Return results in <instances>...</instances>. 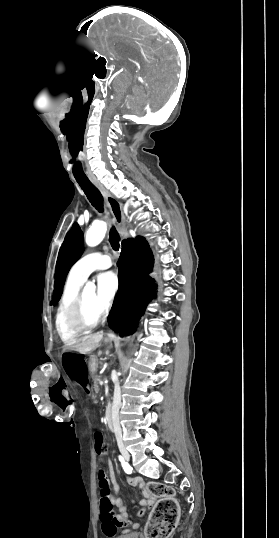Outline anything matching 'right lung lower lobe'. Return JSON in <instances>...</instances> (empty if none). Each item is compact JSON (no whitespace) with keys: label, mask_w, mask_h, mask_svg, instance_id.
Returning a JSON list of instances; mask_svg holds the SVG:
<instances>
[{"label":"right lung lower lobe","mask_w":279,"mask_h":538,"mask_svg":"<svg viewBox=\"0 0 279 538\" xmlns=\"http://www.w3.org/2000/svg\"><path fill=\"white\" fill-rule=\"evenodd\" d=\"M153 253L144 237L126 242L118 260L119 290L108 316L111 328L127 335L147 304L156 297L155 280L149 276L153 269Z\"/></svg>","instance_id":"1"}]
</instances>
